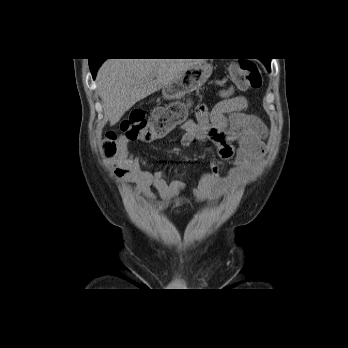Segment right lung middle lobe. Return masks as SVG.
Returning a JSON list of instances; mask_svg holds the SVG:
<instances>
[{
  "label": "right lung middle lobe",
  "mask_w": 348,
  "mask_h": 348,
  "mask_svg": "<svg viewBox=\"0 0 348 348\" xmlns=\"http://www.w3.org/2000/svg\"><path fill=\"white\" fill-rule=\"evenodd\" d=\"M98 61H104V59H97ZM93 60L92 59H89V64L92 63Z\"/></svg>",
  "instance_id": "obj_1"
}]
</instances>
